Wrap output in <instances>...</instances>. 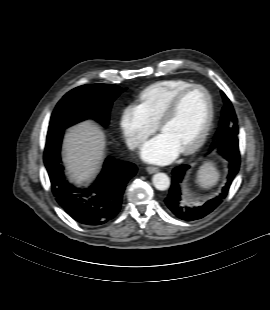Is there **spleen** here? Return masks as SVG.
<instances>
[{"label":"spleen","mask_w":270,"mask_h":310,"mask_svg":"<svg viewBox=\"0 0 270 310\" xmlns=\"http://www.w3.org/2000/svg\"><path fill=\"white\" fill-rule=\"evenodd\" d=\"M220 173L214 162H205L198 170L197 183L204 189H209L217 184Z\"/></svg>","instance_id":"spleen-1"}]
</instances>
